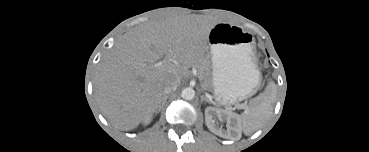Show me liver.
<instances>
[{"mask_svg":"<svg viewBox=\"0 0 369 152\" xmlns=\"http://www.w3.org/2000/svg\"><path fill=\"white\" fill-rule=\"evenodd\" d=\"M214 25L176 16L125 33L98 64L95 78L96 99L109 122L127 131L152 116L165 83L186 78L199 62ZM164 56L177 64L158 62Z\"/></svg>","mask_w":369,"mask_h":152,"instance_id":"1","label":"liver"}]
</instances>
